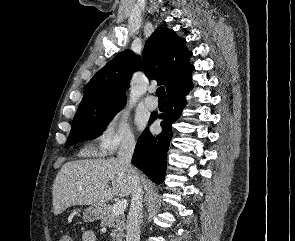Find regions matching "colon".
Returning a JSON list of instances; mask_svg holds the SVG:
<instances>
[{"label":"colon","instance_id":"obj_1","mask_svg":"<svg viewBox=\"0 0 295 241\" xmlns=\"http://www.w3.org/2000/svg\"><path fill=\"white\" fill-rule=\"evenodd\" d=\"M63 237H68L69 239H71L69 236H63Z\"/></svg>","mask_w":295,"mask_h":241}]
</instances>
